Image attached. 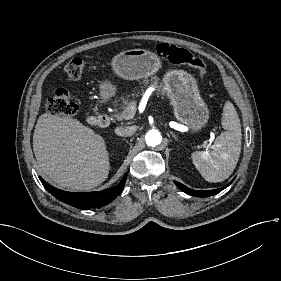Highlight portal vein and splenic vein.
<instances>
[{
	"label": "portal vein and splenic vein",
	"instance_id": "obj_1",
	"mask_svg": "<svg viewBox=\"0 0 281 281\" xmlns=\"http://www.w3.org/2000/svg\"><path fill=\"white\" fill-rule=\"evenodd\" d=\"M165 93H166V90H165ZM164 94H161V95H164ZM137 104H138V100L136 98H133L131 100V104L129 105V108L127 109V112L125 113V118L123 119V122L125 124H128L130 122V119L132 118V116L135 114ZM202 142L203 141L200 142V146H203Z\"/></svg>",
	"mask_w": 281,
	"mask_h": 281
}]
</instances>
